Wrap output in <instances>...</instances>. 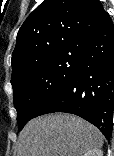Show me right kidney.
I'll list each match as a JSON object with an SVG mask.
<instances>
[{
    "instance_id": "1",
    "label": "right kidney",
    "mask_w": 114,
    "mask_h": 156,
    "mask_svg": "<svg viewBox=\"0 0 114 156\" xmlns=\"http://www.w3.org/2000/svg\"><path fill=\"white\" fill-rule=\"evenodd\" d=\"M83 156H103V152L99 149L89 150Z\"/></svg>"
}]
</instances>
